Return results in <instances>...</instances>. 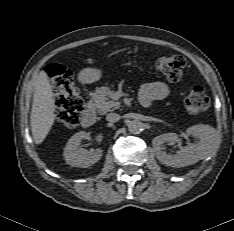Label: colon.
Masks as SVG:
<instances>
[{
    "instance_id": "1",
    "label": "colon",
    "mask_w": 234,
    "mask_h": 231,
    "mask_svg": "<svg viewBox=\"0 0 234 231\" xmlns=\"http://www.w3.org/2000/svg\"><path fill=\"white\" fill-rule=\"evenodd\" d=\"M185 59L171 54L157 61L158 70L170 81L182 78ZM57 96L56 119L64 127L72 129L81 123L83 102L74 86L69 70L61 64H51L46 68ZM185 108L190 114H201L209 108V98L200 86L193 87L185 100Z\"/></svg>"
}]
</instances>
